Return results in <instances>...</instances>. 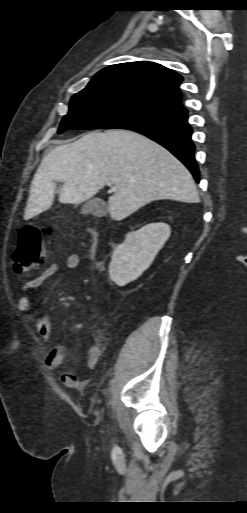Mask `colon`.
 I'll return each instance as SVG.
<instances>
[{"instance_id": "colon-1", "label": "colon", "mask_w": 247, "mask_h": 513, "mask_svg": "<svg viewBox=\"0 0 247 513\" xmlns=\"http://www.w3.org/2000/svg\"><path fill=\"white\" fill-rule=\"evenodd\" d=\"M43 234L42 229L33 225L21 228L12 260L16 273L30 271L42 264L46 256Z\"/></svg>"}]
</instances>
